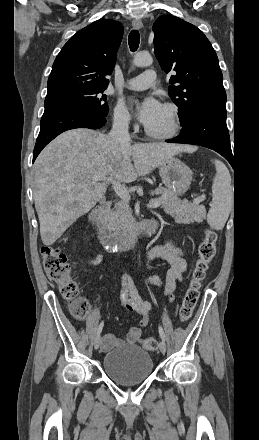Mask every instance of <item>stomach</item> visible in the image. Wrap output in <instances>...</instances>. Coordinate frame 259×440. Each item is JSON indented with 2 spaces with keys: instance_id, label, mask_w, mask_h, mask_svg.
<instances>
[{
  "instance_id": "obj_1",
  "label": "stomach",
  "mask_w": 259,
  "mask_h": 440,
  "mask_svg": "<svg viewBox=\"0 0 259 440\" xmlns=\"http://www.w3.org/2000/svg\"><path fill=\"white\" fill-rule=\"evenodd\" d=\"M159 174L166 188L176 196H182L189 189L192 182L191 169L175 157L161 163Z\"/></svg>"
}]
</instances>
